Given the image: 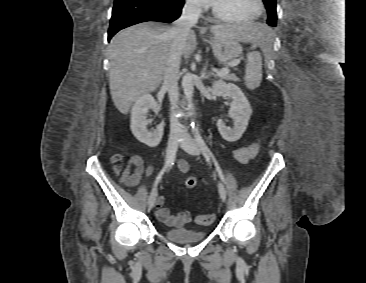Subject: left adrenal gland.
Listing matches in <instances>:
<instances>
[{"label":"left adrenal gland","instance_id":"obj_1","mask_svg":"<svg viewBox=\"0 0 366 283\" xmlns=\"http://www.w3.org/2000/svg\"><path fill=\"white\" fill-rule=\"evenodd\" d=\"M202 77L206 80L210 79V77H216V74L213 73L212 71L207 72V65L204 66L203 70H202Z\"/></svg>","mask_w":366,"mask_h":283}]
</instances>
